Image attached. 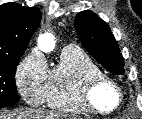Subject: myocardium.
<instances>
[{
	"mask_svg": "<svg viewBox=\"0 0 142 119\" xmlns=\"http://www.w3.org/2000/svg\"><path fill=\"white\" fill-rule=\"evenodd\" d=\"M102 87H109L115 94V103L108 109L101 108L95 101V93ZM78 98L88 112L108 115L113 113L121 104L122 94L119 86L104 74L86 78L78 90Z\"/></svg>",
	"mask_w": 142,
	"mask_h": 119,
	"instance_id": "obj_1",
	"label": "myocardium"
}]
</instances>
